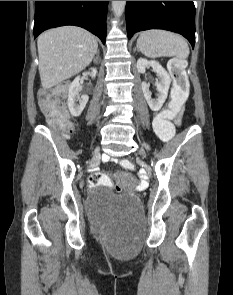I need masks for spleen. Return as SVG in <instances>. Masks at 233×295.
Segmentation results:
<instances>
[{"label": "spleen", "mask_w": 233, "mask_h": 295, "mask_svg": "<svg viewBox=\"0 0 233 295\" xmlns=\"http://www.w3.org/2000/svg\"><path fill=\"white\" fill-rule=\"evenodd\" d=\"M137 49L150 58L176 56L185 59L189 55L188 44L182 36L160 29L142 32L137 39Z\"/></svg>", "instance_id": "spleen-1"}]
</instances>
